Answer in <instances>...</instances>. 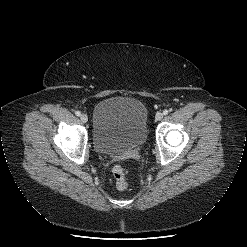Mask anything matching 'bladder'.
<instances>
[{
    "label": "bladder",
    "instance_id": "31cf9c89",
    "mask_svg": "<svg viewBox=\"0 0 247 247\" xmlns=\"http://www.w3.org/2000/svg\"><path fill=\"white\" fill-rule=\"evenodd\" d=\"M148 111L138 99L110 97L94 108L92 142L94 149L111 156H126L139 149L148 136Z\"/></svg>",
    "mask_w": 247,
    "mask_h": 247
}]
</instances>
